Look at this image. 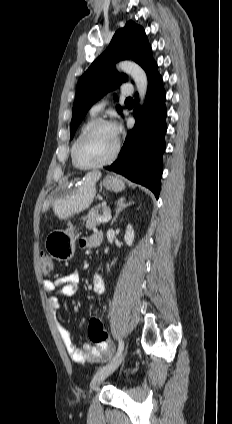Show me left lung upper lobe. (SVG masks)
Wrapping results in <instances>:
<instances>
[{"label": "left lung upper lobe", "mask_w": 232, "mask_h": 424, "mask_svg": "<svg viewBox=\"0 0 232 424\" xmlns=\"http://www.w3.org/2000/svg\"><path fill=\"white\" fill-rule=\"evenodd\" d=\"M129 58L138 63L147 75L156 65L144 29L132 21L115 33L108 48L79 79L73 104L71 139L92 104L127 80V76L120 75L114 66L119 60ZM117 110L120 112L121 108L117 107Z\"/></svg>", "instance_id": "left-lung-upper-lobe-1"}]
</instances>
